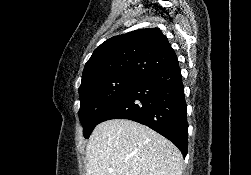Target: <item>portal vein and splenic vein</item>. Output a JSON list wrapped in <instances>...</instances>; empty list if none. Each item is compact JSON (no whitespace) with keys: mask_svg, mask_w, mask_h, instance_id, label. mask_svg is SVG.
I'll use <instances>...</instances> for the list:
<instances>
[{"mask_svg":"<svg viewBox=\"0 0 251 175\" xmlns=\"http://www.w3.org/2000/svg\"><path fill=\"white\" fill-rule=\"evenodd\" d=\"M109 173H113V169H109Z\"/></svg>","mask_w":251,"mask_h":175,"instance_id":"portal-vein-and-splenic-vein-1","label":"portal vein and splenic vein"}]
</instances>
